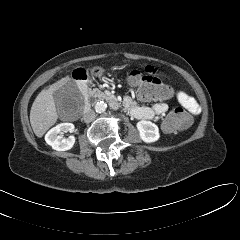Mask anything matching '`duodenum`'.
Listing matches in <instances>:
<instances>
[{
	"mask_svg": "<svg viewBox=\"0 0 240 240\" xmlns=\"http://www.w3.org/2000/svg\"><path fill=\"white\" fill-rule=\"evenodd\" d=\"M77 82H78V87L84 96V112H87L90 107L88 82L86 77L77 78ZM106 99L108 100L110 106L113 109H118L121 105V103L114 96H110V95L106 96Z\"/></svg>",
	"mask_w": 240,
	"mask_h": 240,
	"instance_id": "duodenum-1",
	"label": "duodenum"
}]
</instances>
